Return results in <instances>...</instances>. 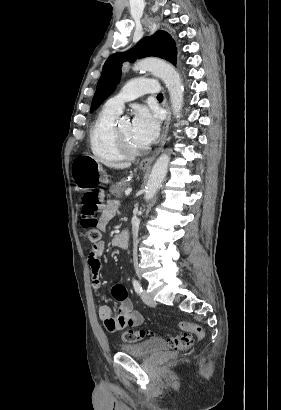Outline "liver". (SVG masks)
I'll use <instances>...</instances> for the list:
<instances>
[{"label": "liver", "instance_id": "obj_1", "mask_svg": "<svg viewBox=\"0 0 281 410\" xmlns=\"http://www.w3.org/2000/svg\"><path fill=\"white\" fill-rule=\"evenodd\" d=\"M99 162L103 163L104 165H106L107 167L110 168H114V169H126L129 168L131 166L130 162H126V163H113V162H108V161H102L97 159Z\"/></svg>", "mask_w": 281, "mask_h": 410}]
</instances>
